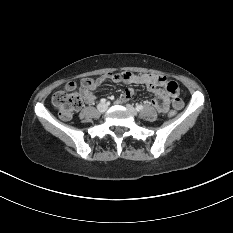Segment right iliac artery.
Here are the masks:
<instances>
[{
  "instance_id": "right-iliac-artery-1",
  "label": "right iliac artery",
  "mask_w": 233,
  "mask_h": 233,
  "mask_svg": "<svg viewBox=\"0 0 233 233\" xmlns=\"http://www.w3.org/2000/svg\"><path fill=\"white\" fill-rule=\"evenodd\" d=\"M100 102H101V103H105V102H106V99L103 98V99L100 100Z\"/></svg>"
}]
</instances>
